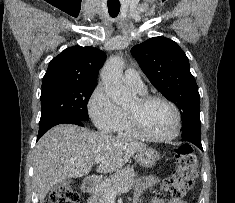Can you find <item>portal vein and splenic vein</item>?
Returning <instances> with one entry per match:
<instances>
[{"mask_svg":"<svg viewBox=\"0 0 235 203\" xmlns=\"http://www.w3.org/2000/svg\"><path fill=\"white\" fill-rule=\"evenodd\" d=\"M102 160H103L102 157H97V158L95 159V162H96V163H100ZM130 189H131V187H124V188L118 189V190H116V191H115V190H111V189H107V190L105 191V194H106V197H107L109 200H115L116 195H117L118 193H127V192L130 191Z\"/></svg>","mask_w":235,"mask_h":203,"instance_id":"portal-vein-and-splenic-vein-1","label":"portal vein and splenic vein"}]
</instances>
